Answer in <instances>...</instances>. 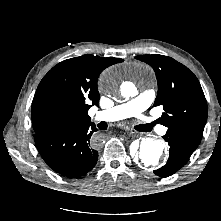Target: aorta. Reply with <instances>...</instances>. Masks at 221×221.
I'll return each mask as SVG.
<instances>
[{"instance_id":"aorta-1","label":"aorta","mask_w":221,"mask_h":221,"mask_svg":"<svg viewBox=\"0 0 221 221\" xmlns=\"http://www.w3.org/2000/svg\"><path fill=\"white\" fill-rule=\"evenodd\" d=\"M120 75V70H112L106 72L100 80L101 88L105 93L112 94L117 86V79ZM121 95L129 98L136 95V89L130 85L127 89L121 91ZM165 156V145L161 140L154 138H144L138 145V150H134L133 157L138 164L153 168L162 164Z\"/></svg>"}]
</instances>
